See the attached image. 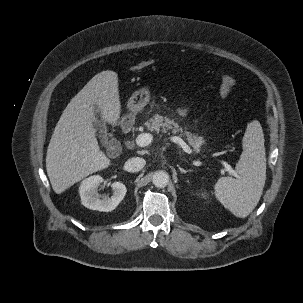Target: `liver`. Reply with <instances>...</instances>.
Wrapping results in <instances>:
<instances>
[{
	"label": "liver",
	"mask_w": 303,
	"mask_h": 303,
	"mask_svg": "<svg viewBox=\"0 0 303 303\" xmlns=\"http://www.w3.org/2000/svg\"><path fill=\"white\" fill-rule=\"evenodd\" d=\"M97 111L104 123L116 125L120 118L118 75L114 71L96 74L66 106L54 129L46 170L57 194L111 164L96 138Z\"/></svg>",
	"instance_id": "liver-1"
}]
</instances>
